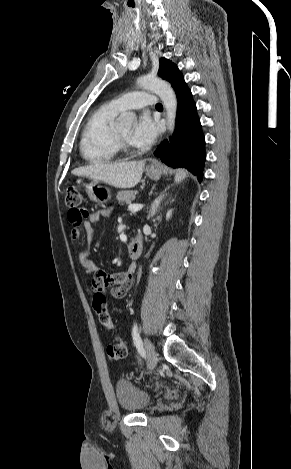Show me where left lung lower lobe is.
Here are the masks:
<instances>
[{
  "label": "left lung lower lobe",
  "mask_w": 291,
  "mask_h": 469,
  "mask_svg": "<svg viewBox=\"0 0 291 469\" xmlns=\"http://www.w3.org/2000/svg\"><path fill=\"white\" fill-rule=\"evenodd\" d=\"M172 87L178 101L176 127L170 143L164 141L155 151V155L170 167L188 169L201 182L206 153L205 138L196 104L183 75Z\"/></svg>",
  "instance_id": "1"
}]
</instances>
